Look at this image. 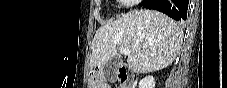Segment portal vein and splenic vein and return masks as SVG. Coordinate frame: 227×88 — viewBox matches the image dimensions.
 Returning <instances> with one entry per match:
<instances>
[{
  "label": "portal vein and splenic vein",
  "mask_w": 227,
  "mask_h": 88,
  "mask_svg": "<svg viewBox=\"0 0 227 88\" xmlns=\"http://www.w3.org/2000/svg\"><path fill=\"white\" fill-rule=\"evenodd\" d=\"M120 52L123 53L124 55L130 54V50L125 47H120Z\"/></svg>",
  "instance_id": "18ae733b"
}]
</instances>
